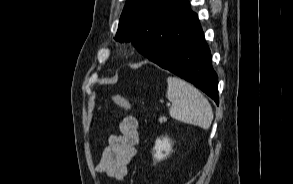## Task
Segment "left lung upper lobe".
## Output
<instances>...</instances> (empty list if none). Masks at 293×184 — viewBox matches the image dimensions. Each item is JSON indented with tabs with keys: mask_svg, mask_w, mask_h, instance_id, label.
<instances>
[{
	"mask_svg": "<svg viewBox=\"0 0 293 184\" xmlns=\"http://www.w3.org/2000/svg\"><path fill=\"white\" fill-rule=\"evenodd\" d=\"M184 0H127L120 17L116 41H132L148 57V47L167 30L168 22Z\"/></svg>",
	"mask_w": 293,
	"mask_h": 184,
	"instance_id": "obj_1",
	"label": "left lung upper lobe"
}]
</instances>
